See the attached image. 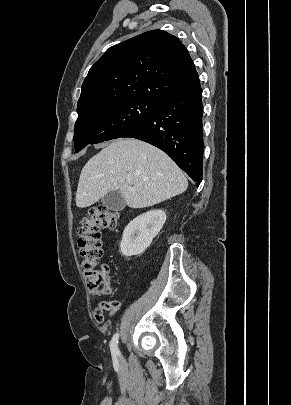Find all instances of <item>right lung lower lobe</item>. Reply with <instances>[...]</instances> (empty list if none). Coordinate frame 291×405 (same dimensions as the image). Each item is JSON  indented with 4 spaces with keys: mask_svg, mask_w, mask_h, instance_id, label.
<instances>
[{
    "mask_svg": "<svg viewBox=\"0 0 291 405\" xmlns=\"http://www.w3.org/2000/svg\"><path fill=\"white\" fill-rule=\"evenodd\" d=\"M202 111L198 79L161 97L150 117L123 137L136 138L163 150L199 185L204 150Z\"/></svg>",
    "mask_w": 291,
    "mask_h": 405,
    "instance_id": "1",
    "label": "right lung lower lobe"
}]
</instances>
